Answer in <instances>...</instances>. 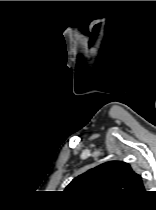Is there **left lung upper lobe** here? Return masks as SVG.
<instances>
[{
  "instance_id": "left-lung-upper-lobe-1",
  "label": "left lung upper lobe",
  "mask_w": 156,
  "mask_h": 210,
  "mask_svg": "<svg viewBox=\"0 0 156 210\" xmlns=\"http://www.w3.org/2000/svg\"><path fill=\"white\" fill-rule=\"evenodd\" d=\"M67 191L80 193H109L116 196H133L144 193L142 178L128 163L110 161L74 178Z\"/></svg>"
}]
</instances>
